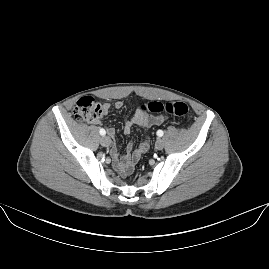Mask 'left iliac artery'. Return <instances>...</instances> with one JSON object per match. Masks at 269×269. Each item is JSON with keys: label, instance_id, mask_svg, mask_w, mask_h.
<instances>
[{"label": "left iliac artery", "instance_id": "obj_1", "mask_svg": "<svg viewBox=\"0 0 269 269\" xmlns=\"http://www.w3.org/2000/svg\"><path fill=\"white\" fill-rule=\"evenodd\" d=\"M163 134H164V133H163L162 130H158V131H157V135H158L159 137L163 136Z\"/></svg>", "mask_w": 269, "mask_h": 269}]
</instances>
